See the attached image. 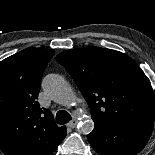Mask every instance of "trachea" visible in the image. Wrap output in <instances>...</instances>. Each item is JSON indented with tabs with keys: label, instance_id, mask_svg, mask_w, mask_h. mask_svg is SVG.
I'll return each mask as SVG.
<instances>
[{
	"label": "trachea",
	"instance_id": "3493384b",
	"mask_svg": "<svg viewBox=\"0 0 155 155\" xmlns=\"http://www.w3.org/2000/svg\"><path fill=\"white\" fill-rule=\"evenodd\" d=\"M72 119L71 115L64 110H60L56 113V121L58 124H66Z\"/></svg>",
	"mask_w": 155,
	"mask_h": 155
}]
</instances>
